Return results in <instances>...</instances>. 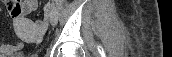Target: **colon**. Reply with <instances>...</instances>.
<instances>
[{
	"label": "colon",
	"instance_id": "obj_1",
	"mask_svg": "<svg viewBox=\"0 0 172 57\" xmlns=\"http://www.w3.org/2000/svg\"><path fill=\"white\" fill-rule=\"evenodd\" d=\"M18 11L16 10H12L11 11V15L13 16L14 14H16ZM38 25L41 27H44V23L42 21H37Z\"/></svg>",
	"mask_w": 172,
	"mask_h": 57
}]
</instances>
